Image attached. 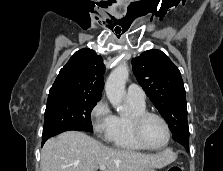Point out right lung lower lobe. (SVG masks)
Wrapping results in <instances>:
<instances>
[{
	"label": "right lung lower lobe",
	"instance_id": "1",
	"mask_svg": "<svg viewBox=\"0 0 223 171\" xmlns=\"http://www.w3.org/2000/svg\"><path fill=\"white\" fill-rule=\"evenodd\" d=\"M69 130L83 131V130H81V129H79V128L72 127V126H68V127H64V128H61V129L55 131L53 134H54V135H57V134H59V133H62V132H65V131H69ZM54 135H53V136H54ZM46 140H47V139H42V145L44 144V142H45Z\"/></svg>",
	"mask_w": 223,
	"mask_h": 171
}]
</instances>
